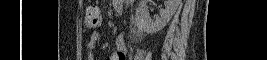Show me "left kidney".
Here are the masks:
<instances>
[{
	"mask_svg": "<svg viewBox=\"0 0 267 60\" xmlns=\"http://www.w3.org/2000/svg\"><path fill=\"white\" fill-rule=\"evenodd\" d=\"M148 0H142L136 9L135 23L139 29L146 33H156L163 29L176 12L180 0H166L165 9H160V17L151 19L146 10Z\"/></svg>",
	"mask_w": 267,
	"mask_h": 60,
	"instance_id": "left-kidney-1",
	"label": "left kidney"
}]
</instances>
